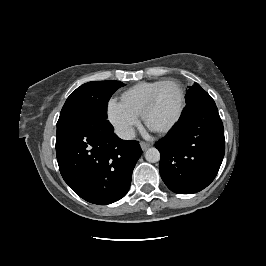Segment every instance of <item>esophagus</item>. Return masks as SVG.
I'll use <instances>...</instances> for the list:
<instances>
[{
  "instance_id": "obj_1",
  "label": "esophagus",
  "mask_w": 266,
  "mask_h": 266,
  "mask_svg": "<svg viewBox=\"0 0 266 266\" xmlns=\"http://www.w3.org/2000/svg\"><path fill=\"white\" fill-rule=\"evenodd\" d=\"M140 146H141L142 150L145 151L151 146V144L148 142L141 141Z\"/></svg>"
}]
</instances>
